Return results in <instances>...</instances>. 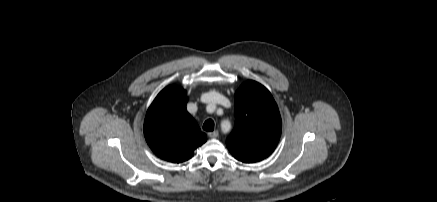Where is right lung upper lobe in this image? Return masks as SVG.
<instances>
[{
    "label": "right lung upper lobe",
    "instance_id": "cb5924a9",
    "mask_svg": "<svg viewBox=\"0 0 437 202\" xmlns=\"http://www.w3.org/2000/svg\"><path fill=\"white\" fill-rule=\"evenodd\" d=\"M187 94L182 87L163 89L149 107L144 121L145 139L161 159L181 163L206 142V134L186 109Z\"/></svg>",
    "mask_w": 437,
    "mask_h": 202
}]
</instances>
